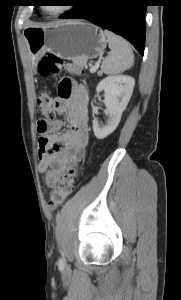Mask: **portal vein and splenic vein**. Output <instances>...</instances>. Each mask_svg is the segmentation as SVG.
<instances>
[{"label":"portal vein and splenic vein","instance_id":"18ae733b","mask_svg":"<svg viewBox=\"0 0 181 300\" xmlns=\"http://www.w3.org/2000/svg\"><path fill=\"white\" fill-rule=\"evenodd\" d=\"M98 67H99V64H96L95 66L91 67L90 73H95L97 71Z\"/></svg>","mask_w":181,"mask_h":300}]
</instances>
